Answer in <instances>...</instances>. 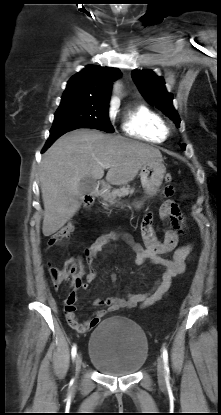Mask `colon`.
<instances>
[{
  "label": "colon",
  "mask_w": 221,
  "mask_h": 415,
  "mask_svg": "<svg viewBox=\"0 0 221 415\" xmlns=\"http://www.w3.org/2000/svg\"><path fill=\"white\" fill-rule=\"evenodd\" d=\"M167 183L172 181V175L167 173L165 175ZM165 218H167L168 211L163 210ZM168 219V218H167ZM173 225V224H172ZM174 226V225H173ZM176 228V227H175ZM73 231V226L68 224L54 233L49 240V247H54L67 239ZM49 274L55 288H59L69 278L72 279V288L82 284L83 267L79 259L69 258L65 261L62 267H49Z\"/></svg>",
  "instance_id": "5ec220e1"
}]
</instances>
